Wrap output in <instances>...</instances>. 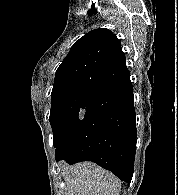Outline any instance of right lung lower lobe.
Segmentation results:
<instances>
[{
  "label": "right lung lower lobe",
  "mask_w": 178,
  "mask_h": 195,
  "mask_svg": "<svg viewBox=\"0 0 178 195\" xmlns=\"http://www.w3.org/2000/svg\"><path fill=\"white\" fill-rule=\"evenodd\" d=\"M136 118L130 79L98 93L83 118L56 148V161H92L130 182L134 172Z\"/></svg>",
  "instance_id": "obj_1"
}]
</instances>
